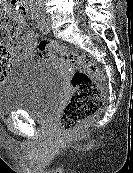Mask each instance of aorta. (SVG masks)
Wrapping results in <instances>:
<instances>
[{"label": "aorta", "mask_w": 133, "mask_h": 173, "mask_svg": "<svg viewBox=\"0 0 133 173\" xmlns=\"http://www.w3.org/2000/svg\"><path fill=\"white\" fill-rule=\"evenodd\" d=\"M32 2H38V3H40V2H42V0H31Z\"/></svg>", "instance_id": "762f6f07"}]
</instances>
